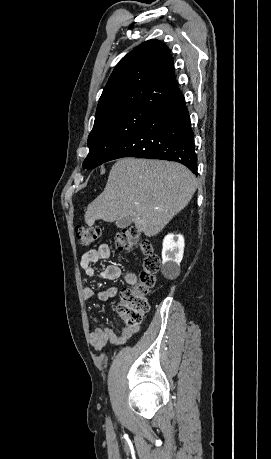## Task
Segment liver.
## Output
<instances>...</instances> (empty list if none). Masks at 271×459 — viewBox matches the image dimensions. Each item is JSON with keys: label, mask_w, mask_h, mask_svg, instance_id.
Instances as JSON below:
<instances>
[{"label": "liver", "mask_w": 271, "mask_h": 459, "mask_svg": "<svg viewBox=\"0 0 271 459\" xmlns=\"http://www.w3.org/2000/svg\"><path fill=\"white\" fill-rule=\"evenodd\" d=\"M196 178L178 162L120 158L106 188L87 206L85 222L129 218L145 235H156L193 198Z\"/></svg>", "instance_id": "obj_1"}]
</instances>
